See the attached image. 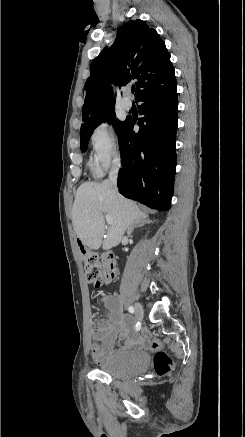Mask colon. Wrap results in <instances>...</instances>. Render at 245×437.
<instances>
[{"mask_svg":"<svg viewBox=\"0 0 245 437\" xmlns=\"http://www.w3.org/2000/svg\"><path fill=\"white\" fill-rule=\"evenodd\" d=\"M83 263L86 279L95 287H101L116 281L118 271L112 255L84 251ZM150 349L156 352L154 357L156 372L159 375L168 374L173 364L168 355L162 351V343L159 340H153L150 343Z\"/></svg>","mask_w":245,"mask_h":437,"instance_id":"obj_1","label":"colon"}]
</instances>
